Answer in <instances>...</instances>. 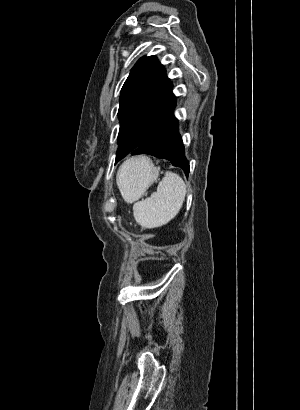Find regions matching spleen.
I'll return each mask as SVG.
<instances>
[{
  "mask_svg": "<svg viewBox=\"0 0 300 410\" xmlns=\"http://www.w3.org/2000/svg\"><path fill=\"white\" fill-rule=\"evenodd\" d=\"M139 167L138 159H130L122 164L117 173L118 188L128 202H130L128 191L131 178ZM185 195L186 185L183 179L178 174L167 171L159 182L157 191L145 200L134 204V218L143 228L151 229L165 225L179 213Z\"/></svg>",
  "mask_w": 300,
  "mask_h": 410,
  "instance_id": "obj_1",
  "label": "spleen"
}]
</instances>
